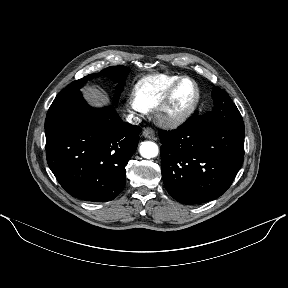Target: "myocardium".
<instances>
[{
  "mask_svg": "<svg viewBox=\"0 0 288 288\" xmlns=\"http://www.w3.org/2000/svg\"><path fill=\"white\" fill-rule=\"evenodd\" d=\"M188 81L192 84L194 88V95L191 101L187 104L185 108H183L181 111L171 114L170 108L172 106V103L174 101L175 95L177 93V90L179 89L180 85ZM200 88L195 80H193L190 77L183 76L180 77L168 90L165 97L162 99V101L158 104L157 107V117L158 119L166 126L176 128L184 125L187 123L191 117L194 115L199 102H200Z\"/></svg>",
  "mask_w": 288,
  "mask_h": 288,
  "instance_id": "obj_1",
  "label": "myocardium"
}]
</instances>
